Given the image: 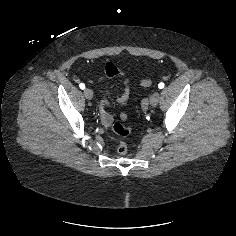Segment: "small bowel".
I'll use <instances>...</instances> for the list:
<instances>
[{
	"instance_id": "1",
	"label": "small bowel",
	"mask_w": 236,
	"mask_h": 236,
	"mask_svg": "<svg viewBox=\"0 0 236 236\" xmlns=\"http://www.w3.org/2000/svg\"><path fill=\"white\" fill-rule=\"evenodd\" d=\"M106 78H121L124 84L122 93L117 97L119 103H126L129 101L131 96V90L129 87L128 79L125 75L111 62H107L104 66V77L101 79L100 93H101V105H100V119L105 126H109L112 123L113 115L110 110V106L103 94V86ZM119 118L122 120L127 119L125 112L119 113Z\"/></svg>"
}]
</instances>
